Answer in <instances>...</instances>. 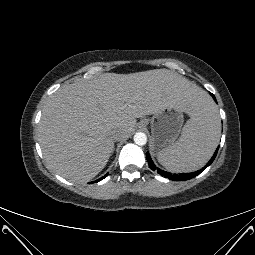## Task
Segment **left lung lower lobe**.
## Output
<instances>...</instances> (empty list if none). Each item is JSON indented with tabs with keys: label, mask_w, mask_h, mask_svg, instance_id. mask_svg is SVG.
I'll use <instances>...</instances> for the list:
<instances>
[{
	"label": "left lung lower lobe",
	"mask_w": 255,
	"mask_h": 255,
	"mask_svg": "<svg viewBox=\"0 0 255 255\" xmlns=\"http://www.w3.org/2000/svg\"><path fill=\"white\" fill-rule=\"evenodd\" d=\"M213 96V98L215 99L214 95L211 94ZM216 100V99H215ZM218 149L219 147L216 149L214 155L212 156V158L210 159V161L200 170L198 171H195V172H192V173H184V174H172V173H169V172H166V171H163L159 168H157L155 166V164L153 163L149 153H147V161L149 163V166L150 168L153 170V171H157L161 176L165 177V178H168V179H171V180H175V181H186V180H189L195 176H197L198 174H200L204 169H206L215 159L216 155H217V152H218Z\"/></svg>",
	"instance_id": "1"
}]
</instances>
